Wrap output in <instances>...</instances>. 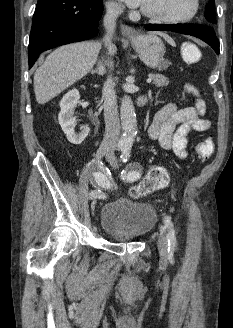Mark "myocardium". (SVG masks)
<instances>
[{"mask_svg":"<svg viewBox=\"0 0 233 328\" xmlns=\"http://www.w3.org/2000/svg\"><path fill=\"white\" fill-rule=\"evenodd\" d=\"M200 0H192V8L190 12L183 16V17H166L158 14H154L151 12L146 11L145 9L141 8V14L146 17L147 19L157 22V23H163V24H183L188 23L196 18V16L199 13L200 10Z\"/></svg>","mask_w":233,"mask_h":328,"instance_id":"1","label":"myocardium"}]
</instances>
